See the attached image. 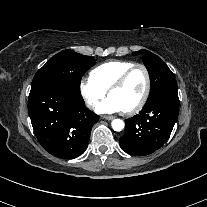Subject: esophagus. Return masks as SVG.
I'll list each match as a JSON object with an SVG mask.
<instances>
[{"mask_svg":"<svg viewBox=\"0 0 207 207\" xmlns=\"http://www.w3.org/2000/svg\"><path fill=\"white\" fill-rule=\"evenodd\" d=\"M103 118L106 119V120H112V119H114L113 116H109V115H105V116H103Z\"/></svg>","mask_w":207,"mask_h":207,"instance_id":"obj_1","label":"esophagus"}]
</instances>
